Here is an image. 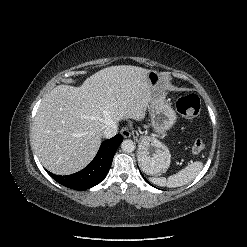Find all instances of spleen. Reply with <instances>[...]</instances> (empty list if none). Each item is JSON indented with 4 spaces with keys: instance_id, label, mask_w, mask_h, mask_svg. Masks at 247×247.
<instances>
[{
    "instance_id": "1",
    "label": "spleen",
    "mask_w": 247,
    "mask_h": 247,
    "mask_svg": "<svg viewBox=\"0 0 247 247\" xmlns=\"http://www.w3.org/2000/svg\"><path fill=\"white\" fill-rule=\"evenodd\" d=\"M202 168L203 163L196 161L189 164L178 173L169 176L167 179L165 177L151 178V182L158 186H167L171 188L183 186L192 181L201 172Z\"/></svg>"
}]
</instances>
